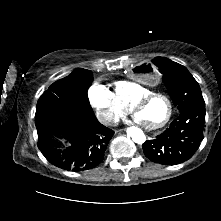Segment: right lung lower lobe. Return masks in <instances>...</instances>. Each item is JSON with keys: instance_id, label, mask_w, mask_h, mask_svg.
Wrapping results in <instances>:
<instances>
[{"instance_id": "1", "label": "right lung lower lobe", "mask_w": 221, "mask_h": 221, "mask_svg": "<svg viewBox=\"0 0 221 221\" xmlns=\"http://www.w3.org/2000/svg\"><path fill=\"white\" fill-rule=\"evenodd\" d=\"M114 132L96 117H66L59 123L38 130V147L53 165L72 171L91 169L104 159V152ZM66 140L64 148L57 138Z\"/></svg>"}]
</instances>
